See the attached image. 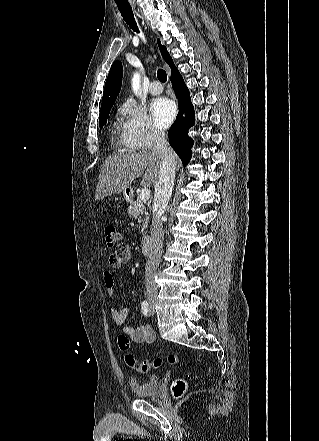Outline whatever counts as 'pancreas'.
<instances>
[{
    "label": "pancreas",
    "mask_w": 319,
    "mask_h": 441,
    "mask_svg": "<svg viewBox=\"0 0 319 441\" xmlns=\"http://www.w3.org/2000/svg\"><path fill=\"white\" fill-rule=\"evenodd\" d=\"M145 209L146 208H145L144 203L141 201L140 198H138L136 201L130 202V206L128 207V210H127L129 216H132V217L136 218L139 223L143 224L141 232L144 233V234L146 233L145 230H146V228L148 226V217L143 220L141 216H142V214H143Z\"/></svg>",
    "instance_id": "obj_1"
}]
</instances>
